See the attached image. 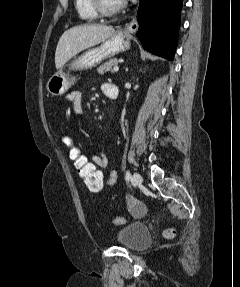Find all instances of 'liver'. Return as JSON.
Segmentation results:
<instances>
[{"instance_id":"liver-1","label":"liver","mask_w":240,"mask_h":287,"mask_svg":"<svg viewBox=\"0 0 240 287\" xmlns=\"http://www.w3.org/2000/svg\"><path fill=\"white\" fill-rule=\"evenodd\" d=\"M115 32L112 26L84 24L66 30L59 39L55 52L56 69L84 49L103 42Z\"/></svg>"}]
</instances>
